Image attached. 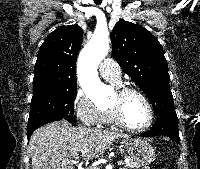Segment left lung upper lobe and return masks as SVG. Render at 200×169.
I'll return each mask as SVG.
<instances>
[{"mask_svg": "<svg viewBox=\"0 0 200 169\" xmlns=\"http://www.w3.org/2000/svg\"><path fill=\"white\" fill-rule=\"evenodd\" d=\"M111 42L114 58L147 95L156 117L176 115L168 67L158 40L144 27L121 20L112 30Z\"/></svg>", "mask_w": 200, "mask_h": 169, "instance_id": "obj_1", "label": "left lung upper lobe"}]
</instances>
